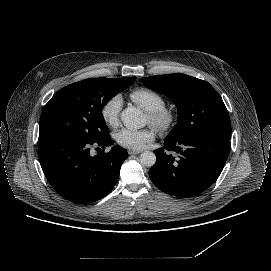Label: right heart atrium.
<instances>
[{
  "label": "right heart atrium",
  "instance_id": "obj_1",
  "mask_svg": "<svg viewBox=\"0 0 271 271\" xmlns=\"http://www.w3.org/2000/svg\"><path fill=\"white\" fill-rule=\"evenodd\" d=\"M122 105L123 99L120 93L114 94L103 103L100 108V115L107 126L111 128L118 126Z\"/></svg>",
  "mask_w": 271,
  "mask_h": 271
}]
</instances>
